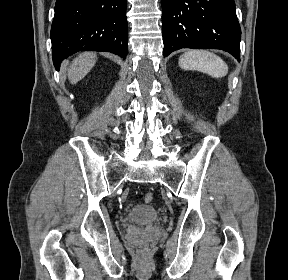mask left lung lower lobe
Segmentation results:
<instances>
[{
	"instance_id": "obj_1",
	"label": "left lung lower lobe",
	"mask_w": 288,
	"mask_h": 280,
	"mask_svg": "<svg viewBox=\"0 0 288 280\" xmlns=\"http://www.w3.org/2000/svg\"><path fill=\"white\" fill-rule=\"evenodd\" d=\"M164 57L181 48L221 49L240 61L234 0H162Z\"/></svg>"
}]
</instances>
